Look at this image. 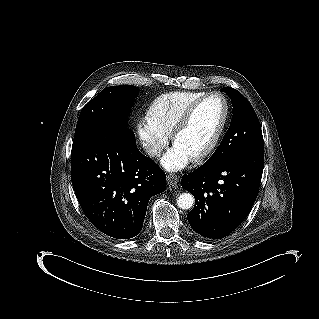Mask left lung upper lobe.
I'll list each match as a JSON object with an SVG mask.
<instances>
[{
    "label": "left lung upper lobe",
    "mask_w": 319,
    "mask_h": 319,
    "mask_svg": "<svg viewBox=\"0 0 319 319\" xmlns=\"http://www.w3.org/2000/svg\"><path fill=\"white\" fill-rule=\"evenodd\" d=\"M221 92L230 97L233 116L229 129L208 163H220L244 152L264 149L260 123L250 102L231 87H224Z\"/></svg>",
    "instance_id": "5c2ea615"
}]
</instances>
